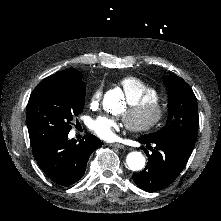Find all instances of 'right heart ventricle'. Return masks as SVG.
Wrapping results in <instances>:
<instances>
[{
  "instance_id": "e07e8e85",
  "label": "right heart ventricle",
  "mask_w": 221,
  "mask_h": 221,
  "mask_svg": "<svg viewBox=\"0 0 221 221\" xmlns=\"http://www.w3.org/2000/svg\"><path fill=\"white\" fill-rule=\"evenodd\" d=\"M121 88H133L131 90L126 91L125 97L129 105L133 108L138 106L141 102H147L155 95H161L162 90L150 83H147L140 78H124L120 80Z\"/></svg>"
}]
</instances>
